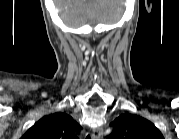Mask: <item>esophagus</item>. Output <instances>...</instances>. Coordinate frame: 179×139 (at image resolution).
Wrapping results in <instances>:
<instances>
[{"mask_svg": "<svg viewBox=\"0 0 179 139\" xmlns=\"http://www.w3.org/2000/svg\"><path fill=\"white\" fill-rule=\"evenodd\" d=\"M103 130L102 128H95L92 130L91 137L92 139H100L102 137Z\"/></svg>", "mask_w": 179, "mask_h": 139, "instance_id": "obj_1", "label": "esophagus"}]
</instances>
